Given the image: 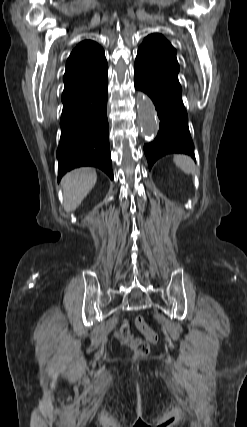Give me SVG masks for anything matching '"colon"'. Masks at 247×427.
Here are the masks:
<instances>
[{
  "instance_id": "obj_1",
  "label": "colon",
  "mask_w": 247,
  "mask_h": 427,
  "mask_svg": "<svg viewBox=\"0 0 247 427\" xmlns=\"http://www.w3.org/2000/svg\"><path fill=\"white\" fill-rule=\"evenodd\" d=\"M136 328L143 334L145 340L130 339L127 341L131 349L139 356H145L150 351V343L158 341V335L155 330L150 328L142 317L135 319Z\"/></svg>"
}]
</instances>
